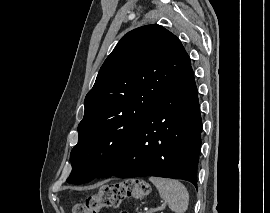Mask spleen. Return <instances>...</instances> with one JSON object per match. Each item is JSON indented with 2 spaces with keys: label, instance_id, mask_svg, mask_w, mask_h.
I'll use <instances>...</instances> for the list:
<instances>
[{
  "label": "spleen",
  "instance_id": "obj_1",
  "mask_svg": "<svg viewBox=\"0 0 270 213\" xmlns=\"http://www.w3.org/2000/svg\"><path fill=\"white\" fill-rule=\"evenodd\" d=\"M161 198L175 213H185L188 209L189 194L185 186L178 180L150 177Z\"/></svg>",
  "mask_w": 270,
  "mask_h": 213
}]
</instances>
